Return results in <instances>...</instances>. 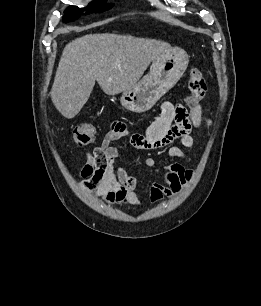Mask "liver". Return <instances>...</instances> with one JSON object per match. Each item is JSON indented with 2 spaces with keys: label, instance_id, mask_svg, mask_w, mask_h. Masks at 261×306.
<instances>
[{
  "label": "liver",
  "instance_id": "1",
  "mask_svg": "<svg viewBox=\"0 0 261 306\" xmlns=\"http://www.w3.org/2000/svg\"><path fill=\"white\" fill-rule=\"evenodd\" d=\"M164 41L118 34H89L66 45L51 90L56 109L75 117L98 82L103 92L115 95L133 87L151 62L169 51Z\"/></svg>",
  "mask_w": 261,
  "mask_h": 306
}]
</instances>
